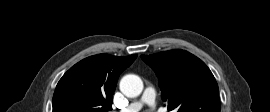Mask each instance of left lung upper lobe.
I'll return each mask as SVG.
<instances>
[{"label":"left lung upper lobe","instance_id":"1","mask_svg":"<svg viewBox=\"0 0 270 112\" xmlns=\"http://www.w3.org/2000/svg\"><path fill=\"white\" fill-rule=\"evenodd\" d=\"M159 79L162 99L176 112H220L217 82L206 64L184 50L141 55Z\"/></svg>","mask_w":270,"mask_h":112}]
</instances>
